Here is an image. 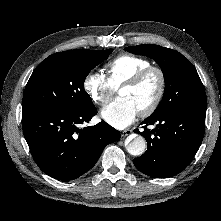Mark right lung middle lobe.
I'll list each match as a JSON object with an SVG mask.
<instances>
[{"instance_id": "1", "label": "right lung middle lobe", "mask_w": 221, "mask_h": 221, "mask_svg": "<svg viewBox=\"0 0 221 221\" xmlns=\"http://www.w3.org/2000/svg\"><path fill=\"white\" fill-rule=\"evenodd\" d=\"M111 52L82 49L50 55L32 73L24 90L22 110L79 112L94 107L84 81Z\"/></svg>"}]
</instances>
